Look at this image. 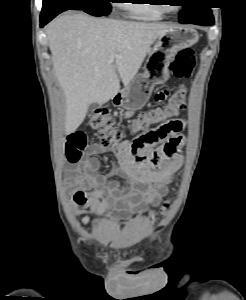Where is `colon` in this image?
I'll use <instances>...</instances> for the list:
<instances>
[{"mask_svg": "<svg viewBox=\"0 0 246 300\" xmlns=\"http://www.w3.org/2000/svg\"><path fill=\"white\" fill-rule=\"evenodd\" d=\"M194 67V53L189 49H185L180 51L173 59L169 66V73L173 77L187 79L192 76ZM186 93V88L181 87L167 97L163 105L140 113L132 120L127 129L120 128L107 109L94 110L89 117V125L97 131L100 143L104 146L117 145L123 142L130 133H135L137 136L131 141V148L133 151H143L148 147L169 141L178 133L181 123L173 117L185 108ZM160 98L164 99L165 95L159 94L156 96L157 100ZM153 124H159V126L146 131ZM86 145L87 140L84 134H73L68 141L67 155L70 161H79ZM143 159L151 164L158 162L157 157ZM169 208L170 202L166 200L163 202L160 212L155 215L165 213Z\"/></svg>", "mask_w": 246, "mask_h": 300, "instance_id": "obj_1", "label": "colon"}]
</instances>
